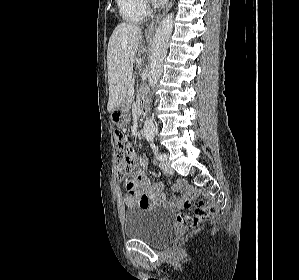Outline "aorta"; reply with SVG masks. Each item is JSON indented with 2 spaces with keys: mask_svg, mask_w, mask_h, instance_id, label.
Returning <instances> with one entry per match:
<instances>
[{
  "mask_svg": "<svg viewBox=\"0 0 299 280\" xmlns=\"http://www.w3.org/2000/svg\"><path fill=\"white\" fill-rule=\"evenodd\" d=\"M174 14L170 13L162 19L155 32L150 56L148 83L151 88L155 87L159 81L162 70L163 61L167 54L168 43L173 31ZM144 135L148 140L154 138L155 126L152 119H147L144 123Z\"/></svg>",
  "mask_w": 299,
  "mask_h": 280,
  "instance_id": "aorta-1",
  "label": "aorta"
}]
</instances>
